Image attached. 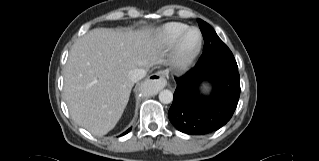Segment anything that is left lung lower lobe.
Here are the masks:
<instances>
[{"label": "left lung lower lobe", "mask_w": 319, "mask_h": 161, "mask_svg": "<svg viewBox=\"0 0 319 161\" xmlns=\"http://www.w3.org/2000/svg\"><path fill=\"white\" fill-rule=\"evenodd\" d=\"M175 79L177 88L168 117L179 131L204 135L218 130L231 119L240 96L238 66L196 64ZM204 80L213 86L211 95L206 97L199 93V85Z\"/></svg>", "instance_id": "0a47b994"}]
</instances>
